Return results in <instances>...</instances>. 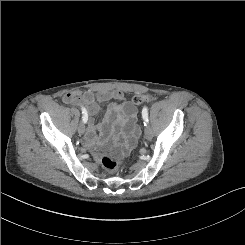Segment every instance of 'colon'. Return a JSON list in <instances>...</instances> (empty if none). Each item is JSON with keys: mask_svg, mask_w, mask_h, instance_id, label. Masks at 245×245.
<instances>
[{"mask_svg": "<svg viewBox=\"0 0 245 245\" xmlns=\"http://www.w3.org/2000/svg\"><path fill=\"white\" fill-rule=\"evenodd\" d=\"M155 98L154 95L150 94H138L133 96L132 102L135 105H139L145 102H150ZM95 161L100 164L107 171L113 172L118 168L119 163L112 157L105 156L99 153H94Z\"/></svg>", "mask_w": 245, "mask_h": 245, "instance_id": "1", "label": "colon"}]
</instances>
